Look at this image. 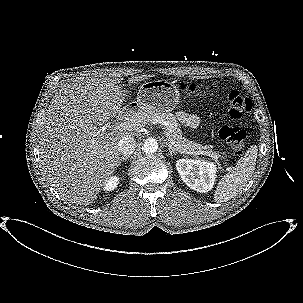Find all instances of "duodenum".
<instances>
[{"mask_svg": "<svg viewBox=\"0 0 303 303\" xmlns=\"http://www.w3.org/2000/svg\"><path fill=\"white\" fill-rule=\"evenodd\" d=\"M132 112H133L132 108H125L121 112H119L117 118L119 120H124Z\"/></svg>", "mask_w": 303, "mask_h": 303, "instance_id": "obj_1", "label": "duodenum"}]
</instances>
